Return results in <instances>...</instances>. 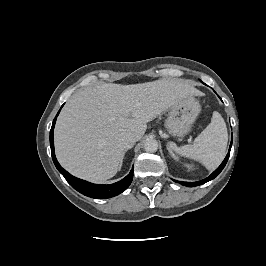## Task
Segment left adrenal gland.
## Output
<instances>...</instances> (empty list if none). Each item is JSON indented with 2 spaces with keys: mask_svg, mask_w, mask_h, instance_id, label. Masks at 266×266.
<instances>
[{
  "mask_svg": "<svg viewBox=\"0 0 266 266\" xmlns=\"http://www.w3.org/2000/svg\"><path fill=\"white\" fill-rule=\"evenodd\" d=\"M167 150L169 151V154L175 159L177 160L176 155L173 153V151L171 150L170 146L167 144Z\"/></svg>",
  "mask_w": 266,
  "mask_h": 266,
  "instance_id": "obj_1",
  "label": "left adrenal gland"
}]
</instances>
